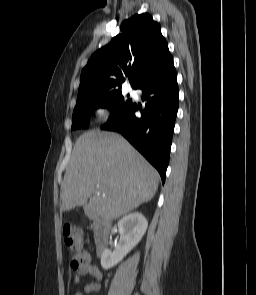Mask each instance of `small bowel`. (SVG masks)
<instances>
[{
	"mask_svg": "<svg viewBox=\"0 0 256 295\" xmlns=\"http://www.w3.org/2000/svg\"><path fill=\"white\" fill-rule=\"evenodd\" d=\"M91 276L93 281L84 286L83 291L85 293L98 292L101 289V282L103 279V272L100 267L91 262L83 265L82 267L76 270V273L73 277V283L75 286H79L81 282V277ZM75 295H82L80 292H77Z\"/></svg>",
	"mask_w": 256,
	"mask_h": 295,
	"instance_id": "small-bowel-1",
	"label": "small bowel"
}]
</instances>
